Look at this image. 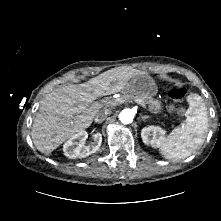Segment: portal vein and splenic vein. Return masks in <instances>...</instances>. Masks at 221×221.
Returning <instances> with one entry per match:
<instances>
[{
	"instance_id": "obj_1",
	"label": "portal vein and splenic vein",
	"mask_w": 221,
	"mask_h": 221,
	"mask_svg": "<svg viewBox=\"0 0 221 221\" xmlns=\"http://www.w3.org/2000/svg\"><path fill=\"white\" fill-rule=\"evenodd\" d=\"M134 102L141 105L143 108H146V105L140 99H134Z\"/></svg>"
}]
</instances>
